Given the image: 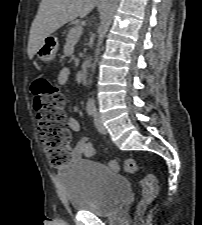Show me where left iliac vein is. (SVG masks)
<instances>
[{"mask_svg":"<svg viewBox=\"0 0 202 225\" xmlns=\"http://www.w3.org/2000/svg\"><path fill=\"white\" fill-rule=\"evenodd\" d=\"M94 123H95V126L97 128V130L103 134H105L107 132V129L106 127L103 125V122L101 120V117L99 115V113L97 112V110L95 109V112H94Z\"/></svg>","mask_w":202,"mask_h":225,"instance_id":"4c4485c4","label":"left iliac vein"}]
</instances>
